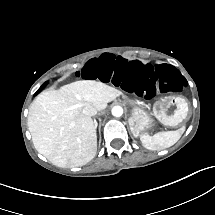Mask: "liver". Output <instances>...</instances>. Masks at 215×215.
Masks as SVG:
<instances>
[{"label": "liver", "mask_w": 215, "mask_h": 215, "mask_svg": "<svg viewBox=\"0 0 215 215\" xmlns=\"http://www.w3.org/2000/svg\"><path fill=\"white\" fill-rule=\"evenodd\" d=\"M122 92L97 80H78L39 93L31 103L27 125L35 149L59 167H78L96 154V132L91 105L98 112Z\"/></svg>", "instance_id": "obj_1"}]
</instances>
